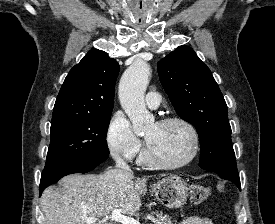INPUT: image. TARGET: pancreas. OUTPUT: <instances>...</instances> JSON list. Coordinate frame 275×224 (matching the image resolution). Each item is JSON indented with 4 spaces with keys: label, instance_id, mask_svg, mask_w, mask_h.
I'll return each instance as SVG.
<instances>
[{
    "label": "pancreas",
    "instance_id": "pancreas-1",
    "mask_svg": "<svg viewBox=\"0 0 275 224\" xmlns=\"http://www.w3.org/2000/svg\"><path fill=\"white\" fill-rule=\"evenodd\" d=\"M157 218H158V224H176V220H172L171 217H169L168 215H163V213H157L156 214Z\"/></svg>",
    "mask_w": 275,
    "mask_h": 224
}]
</instances>
